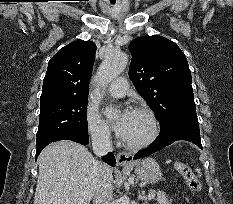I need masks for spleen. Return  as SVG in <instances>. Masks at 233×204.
Returning a JSON list of instances; mask_svg holds the SVG:
<instances>
[{"mask_svg":"<svg viewBox=\"0 0 233 204\" xmlns=\"http://www.w3.org/2000/svg\"><path fill=\"white\" fill-rule=\"evenodd\" d=\"M196 172L198 173V176L201 177V170L199 168H196Z\"/></svg>","mask_w":233,"mask_h":204,"instance_id":"3e777b00","label":"spleen"}]
</instances>
